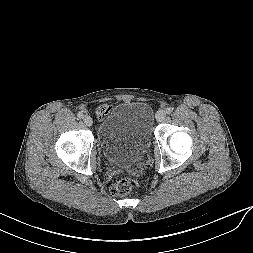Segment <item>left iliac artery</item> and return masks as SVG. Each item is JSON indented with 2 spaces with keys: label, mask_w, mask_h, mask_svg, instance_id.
<instances>
[{
  "label": "left iliac artery",
  "mask_w": 253,
  "mask_h": 253,
  "mask_svg": "<svg viewBox=\"0 0 253 253\" xmlns=\"http://www.w3.org/2000/svg\"><path fill=\"white\" fill-rule=\"evenodd\" d=\"M173 112V108L172 107H168L167 109H166V113L167 114H171Z\"/></svg>",
  "instance_id": "obj_1"
}]
</instances>
